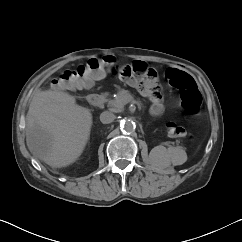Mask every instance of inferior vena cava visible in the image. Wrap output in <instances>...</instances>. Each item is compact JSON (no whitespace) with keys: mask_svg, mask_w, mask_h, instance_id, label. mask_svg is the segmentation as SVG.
Segmentation results:
<instances>
[{"mask_svg":"<svg viewBox=\"0 0 242 242\" xmlns=\"http://www.w3.org/2000/svg\"><path fill=\"white\" fill-rule=\"evenodd\" d=\"M114 119H115V115L110 111H104L100 115V121L103 124H109V123L113 122Z\"/></svg>","mask_w":242,"mask_h":242,"instance_id":"inferior-vena-cava-1","label":"inferior vena cava"}]
</instances>
